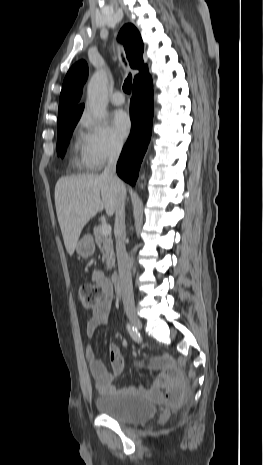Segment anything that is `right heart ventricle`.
<instances>
[{
	"label": "right heart ventricle",
	"mask_w": 263,
	"mask_h": 465,
	"mask_svg": "<svg viewBox=\"0 0 263 465\" xmlns=\"http://www.w3.org/2000/svg\"><path fill=\"white\" fill-rule=\"evenodd\" d=\"M73 149H74V152L75 154H77L78 152H81V149H82V143H81V139L80 138H77L73 144ZM75 162L77 164H81V165H84V162H83V158H82V154H81V158H78L77 155L75 156L74 158Z\"/></svg>",
	"instance_id": "right-heart-ventricle-1"
}]
</instances>
